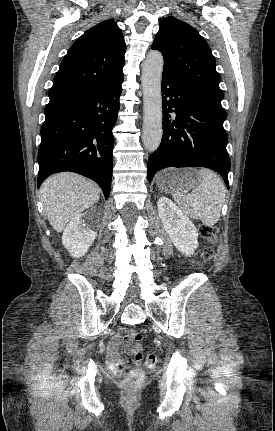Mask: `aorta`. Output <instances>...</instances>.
Instances as JSON below:
<instances>
[{
    "label": "aorta",
    "mask_w": 275,
    "mask_h": 431,
    "mask_svg": "<svg viewBox=\"0 0 275 431\" xmlns=\"http://www.w3.org/2000/svg\"><path fill=\"white\" fill-rule=\"evenodd\" d=\"M163 56L157 50L147 54L142 68L143 90V144L149 152L158 149L162 139L161 79Z\"/></svg>",
    "instance_id": "762f6f07"
}]
</instances>
